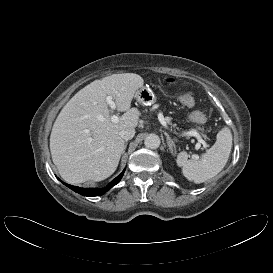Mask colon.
Instances as JSON below:
<instances>
[{
  "mask_svg": "<svg viewBox=\"0 0 273 273\" xmlns=\"http://www.w3.org/2000/svg\"><path fill=\"white\" fill-rule=\"evenodd\" d=\"M178 99L183 105H185L187 107H191L195 103L193 93L190 90L180 94ZM189 118L191 121H193L195 123H199V124L204 123L206 121V116L199 111L192 112L190 114Z\"/></svg>",
  "mask_w": 273,
  "mask_h": 273,
  "instance_id": "obj_1",
  "label": "colon"
}]
</instances>
